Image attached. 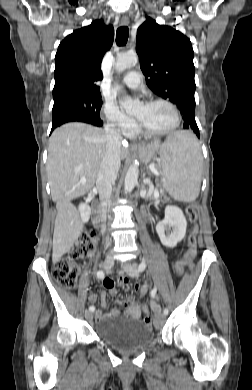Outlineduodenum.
<instances>
[{
  "label": "duodenum",
  "instance_id": "410a0bca",
  "mask_svg": "<svg viewBox=\"0 0 252 390\" xmlns=\"http://www.w3.org/2000/svg\"><path fill=\"white\" fill-rule=\"evenodd\" d=\"M102 220H103L102 211H101L100 209H97V210H96L95 217H94V223H95V225H96V226H100Z\"/></svg>",
  "mask_w": 252,
  "mask_h": 390
}]
</instances>
